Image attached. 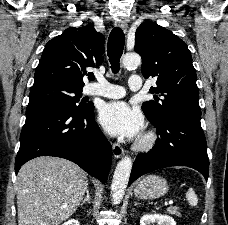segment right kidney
Returning a JSON list of instances; mask_svg holds the SVG:
<instances>
[{"label":"right kidney","instance_id":"obj_1","mask_svg":"<svg viewBox=\"0 0 228 225\" xmlns=\"http://www.w3.org/2000/svg\"><path fill=\"white\" fill-rule=\"evenodd\" d=\"M63 225H79V223L78 221H75V219H70V221H66Z\"/></svg>","mask_w":228,"mask_h":225}]
</instances>
